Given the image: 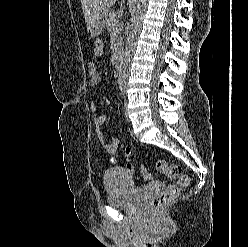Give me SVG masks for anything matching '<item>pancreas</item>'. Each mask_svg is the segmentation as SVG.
<instances>
[{
	"instance_id": "pancreas-1",
	"label": "pancreas",
	"mask_w": 248,
	"mask_h": 247,
	"mask_svg": "<svg viewBox=\"0 0 248 247\" xmlns=\"http://www.w3.org/2000/svg\"><path fill=\"white\" fill-rule=\"evenodd\" d=\"M105 19H106V27L109 30V32L112 33L114 30L117 31V34H118L117 43L121 47L122 40H123L121 36L123 25L122 23L119 22L115 11L113 10L107 11L105 14Z\"/></svg>"
}]
</instances>
